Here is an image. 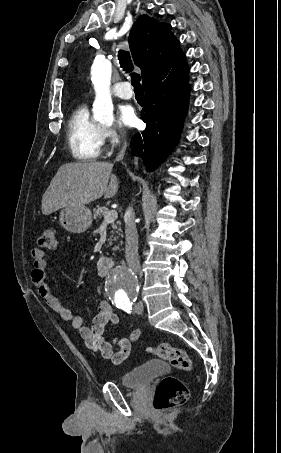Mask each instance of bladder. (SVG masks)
I'll use <instances>...</instances> for the list:
<instances>
[{"instance_id": "31cf9c89", "label": "bladder", "mask_w": 281, "mask_h": 453, "mask_svg": "<svg viewBox=\"0 0 281 453\" xmlns=\"http://www.w3.org/2000/svg\"><path fill=\"white\" fill-rule=\"evenodd\" d=\"M168 369V365L163 361H149L124 373L120 382L124 387L138 388L149 383L155 377L166 373Z\"/></svg>"}]
</instances>
